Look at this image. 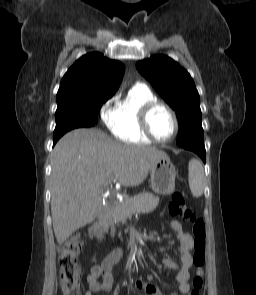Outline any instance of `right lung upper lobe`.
<instances>
[{"instance_id":"right-lung-upper-lobe-1","label":"right lung upper lobe","mask_w":256,"mask_h":295,"mask_svg":"<svg viewBox=\"0 0 256 295\" xmlns=\"http://www.w3.org/2000/svg\"><path fill=\"white\" fill-rule=\"evenodd\" d=\"M125 67L98 52L78 59L62 78L57 104L80 103L112 97L119 88Z\"/></svg>"}]
</instances>
